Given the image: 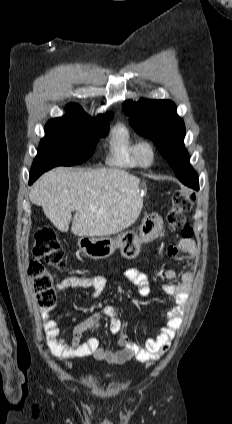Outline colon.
I'll return each mask as SVG.
<instances>
[{
	"mask_svg": "<svg viewBox=\"0 0 232 424\" xmlns=\"http://www.w3.org/2000/svg\"><path fill=\"white\" fill-rule=\"evenodd\" d=\"M196 202V194L188 189H176L171 198V206L167 215L169 228L181 227L183 238L193 236L191 226L186 222L185 214ZM61 271L68 268L65 252L55 233L47 228H40L35 235L33 258L28 267V275L33 279L37 303L41 308L50 309L56 301L55 276L49 267Z\"/></svg>",
	"mask_w": 232,
	"mask_h": 424,
	"instance_id": "colon-1",
	"label": "colon"
}]
</instances>
